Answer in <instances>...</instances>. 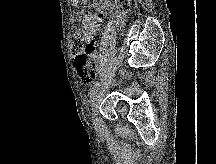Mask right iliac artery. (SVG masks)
<instances>
[{"label": "right iliac artery", "mask_w": 216, "mask_h": 164, "mask_svg": "<svg viewBox=\"0 0 216 164\" xmlns=\"http://www.w3.org/2000/svg\"><path fill=\"white\" fill-rule=\"evenodd\" d=\"M98 87H99V83L96 82V83L94 84V86L92 87L91 92H90V99H91V101H92V99H93L95 93L97 92Z\"/></svg>", "instance_id": "obj_1"}]
</instances>
